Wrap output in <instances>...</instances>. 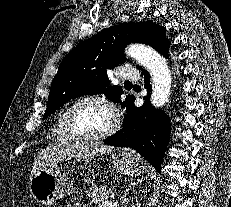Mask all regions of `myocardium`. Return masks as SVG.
I'll list each match as a JSON object with an SVG mask.
<instances>
[{
    "mask_svg": "<svg viewBox=\"0 0 231 207\" xmlns=\"http://www.w3.org/2000/svg\"><path fill=\"white\" fill-rule=\"evenodd\" d=\"M86 102H95V103L101 104L111 112L112 123L107 130H105L102 133L96 134V135H86V134L80 133L77 130V128L75 127V125L73 123L72 114H73L74 110L79 105L86 103ZM64 120H65V126H66L68 133L75 140H78L81 142H87V143L102 141V140L114 135L120 128V116H119L115 106L106 97L100 96V95H95V94L82 96V97L76 99L66 109Z\"/></svg>",
    "mask_w": 231,
    "mask_h": 207,
    "instance_id": "obj_1",
    "label": "myocardium"
}]
</instances>
